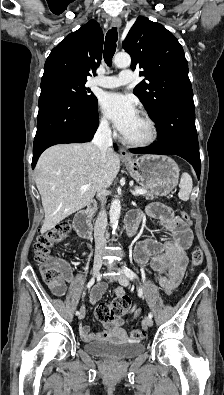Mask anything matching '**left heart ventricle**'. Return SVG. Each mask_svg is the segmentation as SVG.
Returning a JSON list of instances; mask_svg holds the SVG:
<instances>
[{
  "label": "left heart ventricle",
  "mask_w": 224,
  "mask_h": 395,
  "mask_svg": "<svg viewBox=\"0 0 224 395\" xmlns=\"http://www.w3.org/2000/svg\"><path fill=\"white\" fill-rule=\"evenodd\" d=\"M147 133V125L138 115L123 135L131 139H141L144 138Z\"/></svg>",
  "instance_id": "obj_1"
}]
</instances>
